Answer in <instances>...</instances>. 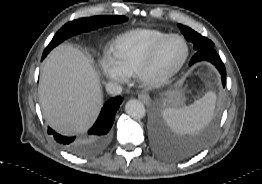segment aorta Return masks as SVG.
I'll return each mask as SVG.
<instances>
[{
  "mask_svg": "<svg viewBox=\"0 0 262 184\" xmlns=\"http://www.w3.org/2000/svg\"><path fill=\"white\" fill-rule=\"evenodd\" d=\"M126 113L134 119L145 117L146 110L143 103L137 99H131L125 104Z\"/></svg>",
  "mask_w": 262,
  "mask_h": 184,
  "instance_id": "obj_1",
  "label": "aorta"
}]
</instances>
